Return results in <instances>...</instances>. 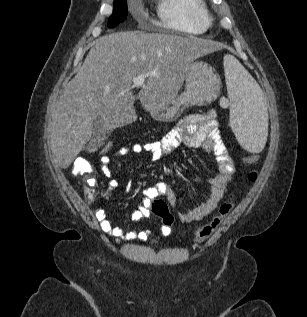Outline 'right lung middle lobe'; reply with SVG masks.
<instances>
[{
    "instance_id": "obj_1",
    "label": "right lung middle lobe",
    "mask_w": 307,
    "mask_h": 317,
    "mask_svg": "<svg viewBox=\"0 0 307 317\" xmlns=\"http://www.w3.org/2000/svg\"><path fill=\"white\" fill-rule=\"evenodd\" d=\"M127 3L126 0L114 1L113 14L109 18V27H115L127 17Z\"/></svg>"
}]
</instances>
